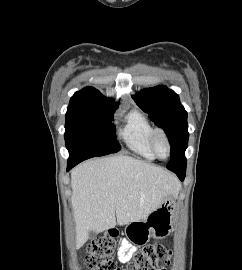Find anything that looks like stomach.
Wrapping results in <instances>:
<instances>
[{
    "label": "stomach",
    "instance_id": "obj_1",
    "mask_svg": "<svg viewBox=\"0 0 242 270\" xmlns=\"http://www.w3.org/2000/svg\"><path fill=\"white\" fill-rule=\"evenodd\" d=\"M176 207L170 196H166L160 206L146 218L127 224L125 234L136 245H144L150 238L163 239L173 230Z\"/></svg>",
    "mask_w": 242,
    "mask_h": 270
}]
</instances>
